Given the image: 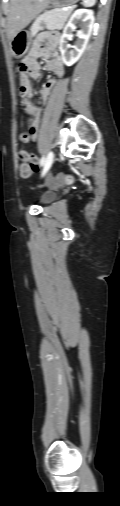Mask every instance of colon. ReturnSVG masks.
<instances>
[{"label": "colon", "instance_id": "obj_1", "mask_svg": "<svg viewBox=\"0 0 120 506\" xmlns=\"http://www.w3.org/2000/svg\"><path fill=\"white\" fill-rule=\"evenodd\" d=\"M28 70L27 64L25 61H21L19 64V73L24 74ZM21 94L23 96L26 95L25 91L21 88ZM32 138L31 133L29 132H22L20 135V139L22 142L27 143ZM19 158L21 160L19 173L20 176L23 178L30 177L34 172L38 170V159L34 155L30 154L29 152L23 150L19 153ZM74 181L73 177L69 174H57L53 178H51L48 182L50 186H56L58 184L64 183V184H72Z\"/></svg>", "mask_w": 120, "mask_h": 506}]
</instances>
